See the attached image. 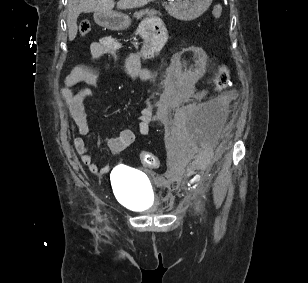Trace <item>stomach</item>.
Instances as JSON below:
<instances>
[{"instance_id": "0dacf381", "label": "stomach", "mask_w": 308, "mask_h": 283, "mask_svg": "<svg viewBox=\"0 0 308 283\" xmlns=\"http://www.w3.org/2000/svg\"><path fill=\"white\" fill-rule=\"evenodd\" d=\"M212 0H170L166 6L168 13L181 21H191L201 16L211 5ZM97 24L111 30H124L130 26V18L121 13L97 12Z\"/></svg>"}]
</instances>
